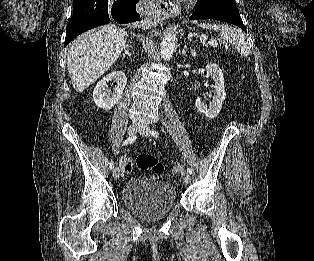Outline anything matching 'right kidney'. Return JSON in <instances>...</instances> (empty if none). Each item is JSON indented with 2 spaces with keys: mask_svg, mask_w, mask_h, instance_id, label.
Here are the masks:
<instances>
[{
  "mask_svg": "<svg viewBox=\"0 0 314 261\" xmlns=\"http://www.w3.org/2000/svg\"><path fill=\"white\" fill-rule=\"evenodd\" d=\"M108 82L116 83L113 91L107 89ZM126 83V76L121 71H115L103 77L93 91V101L96 106L105 110H110L114 107L121 99Z\"/></svg>",
  "mask_w": 314,
  "mask_h": 261,
  "instance_id": "obj_1",
  "label": "right kidney"
}]
</instances>
